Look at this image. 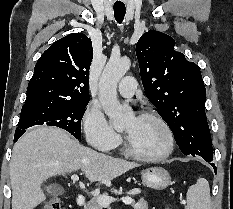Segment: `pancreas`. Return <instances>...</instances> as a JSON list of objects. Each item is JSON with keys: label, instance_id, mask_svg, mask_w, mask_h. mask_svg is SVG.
Wrapping results in <instances>:
<instances>
[{"label": "pancreas", "instance_id": "obj_1", "mask_svg": "<svg viewBox=\"0 0 233 209\" xmlns=\"http://www.w3.org/2000/svg\"><path fill=\"white\" fill-rule=\"evenodd\" d=\"M104 195L107 196L108 194L105 193ZM132 206L134 209H148V204L144 198H141L137 203L133 200ZM85 209H103V206L97 202V198H92L87 202Z\"/></svg>", "mask_w": 233, "mask_h": 209}]
</instances>
